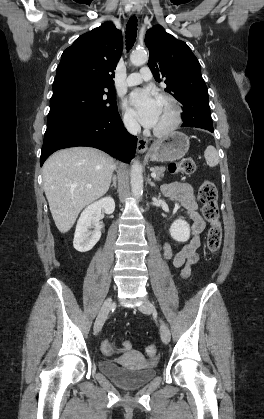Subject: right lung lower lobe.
Instances as JSON below:
<instances>
[{
    "mask_svg": "<svg viewBox=\"0 0 264 419\" xmlns=\"http://www.w3.org/2000/svg\"><path fill=\"white\" fill-rule=\"evenodd\" d=\"M137 137L130 135L116 113L67 114L47 126L40 164L56 150L90 146L107 152L113 157L130 162L136 152Z\"/></svg>",
    "mask_w": 264,
    "mask_h": 419,
    "instance_id": "right-lung-lower-lobe-1",
    "label": "right lung lower lobe"
}]
</instances>
